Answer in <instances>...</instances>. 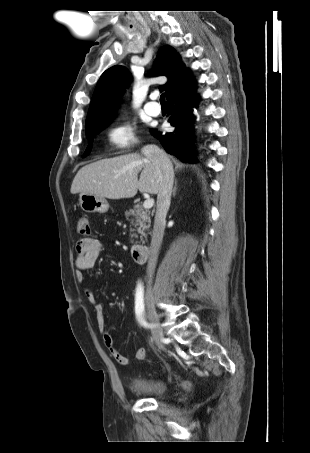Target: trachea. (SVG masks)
<instances>
[{"label":"trachea","mask_w":310,"mask_h":453,"mask_svg":"<svg viewBox=\"0 0 310 453\" xmlns=\"http://www.w3.org/2000/svg\"><path fill=\"white\" fill-rule=\"evenodd\" d=\"M160 103H161V105H165L166 104L165 103V94L164 93L161 94V96H160Z\"/></svg>","instance_id":"3493384b"}]
</instances>
